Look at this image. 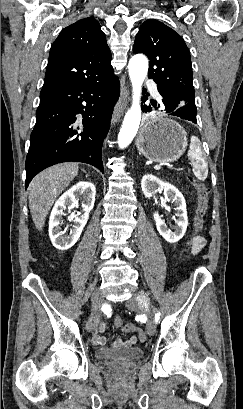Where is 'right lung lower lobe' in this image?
Returning a JSON list of instances; mask_svg holds the SVG:
<instances>
[{"label":"right lung lower lobe","mask_w":243,"mask_h":409,"mask_svg":"<svg viewBox=\"0 0 243 409\" xmlns=\"http://www.w3.org/2000/svg\"><path fill=\"white\" fill-rule=\"evenodd\" d=\"M112 75L113 71L99 80L41 90L25 163V189L37 173L61 162H84L104 172L102 144L119 97V80Z\"/></svg>","instance_id":"98d812e1"}]
</instances>
